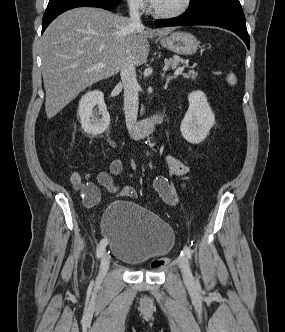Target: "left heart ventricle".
I'll return each instance as SVG.
<instances>
[{"label":"left heart ventricle","mask_w":285,"mask_h":332,"mask_svg":"<svg viewBox=\"0 0 285 332\" xmlns=\"http://www.w3.org/2000/svg\"><path fill=\"white\" fill-rule=\"evenodd\" d=\"M182 3L183 0H161L156 9L163 12H170L178 9Z\"/></svg>","instance_id":"b2bd125f"}]
</instances>
